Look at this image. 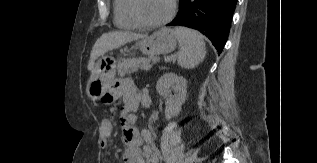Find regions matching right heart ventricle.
Segmentation results:
<instances>
[{"label":"right heart ventricle","instance_id":"1","mask_svg":"<svg viewBox=\"0 0 317 163\" xmlns=\"http://www.w3.org/2000/svg\"><path fill=\"white\" fill-rule=\"evenodd\" d=\"M114 23L118 28L125 30L142 27L131 14L130 0H114Z\"/></svg>","mask_w":317,"mask_h":163}]
</instances>
